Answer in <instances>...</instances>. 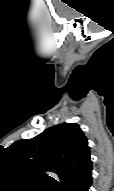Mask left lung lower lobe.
Masks as SVG:
<instances>
[{
    "instance_id": "left-lung-lower-lobe-1",
    "label": "left lung lower lobe",
    "mask_w": 114,
    "mask_h": 191,
    "mask_svg": "<svg viewBox=\"0 0 114 191\" xmlns=\"http://www.w3.org/2000/svg\"><path fill=\"white\" fill-rule=\"evenodd\" d=\"M92 161L89 158L61 187V191H88L92 183Z\"/></svg>"
}]
</instances>
